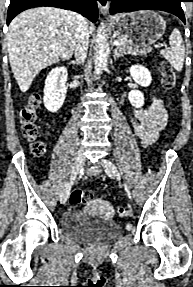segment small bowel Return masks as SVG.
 Listing matches in <instances>:
<instances>
[{
    "mask_svg": "<svg viewBox=\"0 0 193 287\" xmlns=\"http://www.w3.org/2000/svg\"><path fill=\"white\" fill-rule=\"evenodd\" d=\"M134 116L135 119L131 121L132 128L144 145L155 141L167 121L163 102L158 97H151L147 107L136 108Z\"/></svg>",
    "mask_w": 193,
    "mask_h": 287,
    "instance_id": "c3829d8e",
    "label": "small bowel"
}]
</instances>
